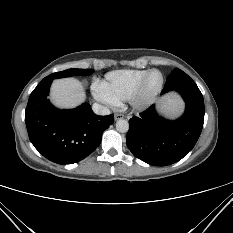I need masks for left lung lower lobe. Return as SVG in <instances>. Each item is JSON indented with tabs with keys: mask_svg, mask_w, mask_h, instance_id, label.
I'll return each mask as SVG.
<instances>
[{
	"mask_svg": "<svg viewBox=\"0 0 233 233\" xmlns=\"http://www.w3.org/2000/svg\"><path fill=\"white\" fill-rule=\"evenodd\" d=\"M179 93L186 103L182 117L164 119L151 106L129 120L126 142L138 159L155 166H167L181 160L196 144L204 123L203 96L195 82L180 69L168 76L162 94Z\"/></svg>",
	"mask_w": 233,
	"mask_h": 233,
	"instance_id": "1",
	"label": "left lung lower lobe"
}]
</instances>
